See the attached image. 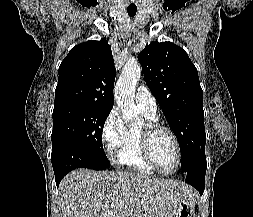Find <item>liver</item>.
I'll use <instances>...</instances> for the list:
<instances>
[{"label": "liver", "mask_w": 253, "mask_h": 217, "mask_svg": "<svg viewBox=\"0 0 253 217\" xmlns=\"http://www.w3.org/2000/svg\"><path fill=\"white\" fill-rule=\"evenodd\" d=\"M62 217H173L182 201L194 202L187 184L130 172L76 169L59 185Z\"/></svg>", "instance_id": "liver-1"}]
</instances>
